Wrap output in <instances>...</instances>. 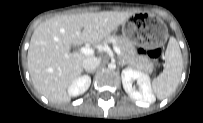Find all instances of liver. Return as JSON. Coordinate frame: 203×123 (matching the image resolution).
Returning a JSON list of instances; mask_svg holds the SVG:
<instances>
[{"label":"liver","mask_w":203,"mask_h":123,"mask_svg":"<svg viewBox=\"0 0 203 123\" xmlns=\"http://www.w3.org/2000/svg\"><path fill=\"white\" fill-rule=\"evenodd\" d=\"M133 12L104 11L60 15L42 22L33 32L27 55L34 88L51 103H68L67 89L92 55L70 52L71 45L99 44L123 25Z\"/></svg>","instance_id":"liver-1"}]
</instances>
